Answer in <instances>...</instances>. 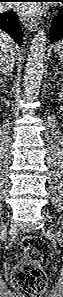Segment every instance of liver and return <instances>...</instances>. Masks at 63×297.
Returning a JSON list of instances; mask_svg holds the SVG:
<instances>
[{"instance_id":"6515ba94","label":"liver","mask_w":63,"mask_h":297,"mask_svg":"<svg viewBox=\"0 0 63 297\" xmlns=\"http://www.w3.org/2000/svg\"><path fill=\"white\" fill-rule=\"evenodd\" d=\"M10 49H13L15 52V50H17V46L14 44L13 40L8 34L1 32L0 33V56L2 53H5Z\"/></svg>"}]
</instances>
